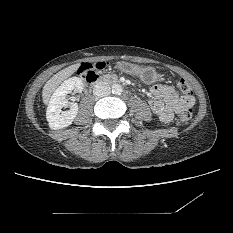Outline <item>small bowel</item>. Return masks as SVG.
Returning a JSON list of instances; mask_svg holds the SVG:
<instances>
[{
  "mask_svg": "<svg viewBox=\"0 0 233 233\" xmlns=\"http://www.w3.org/2000/svg\"><path fill=\"white\" fill-rule=\"evenodd\" d=\"M148 103L152 111L168 123L175 113L189 110L193 102L181 97L172 86L159 84L151 87L148 92Z\"/></svg>",
  "mask_w": 233,
  "mask_h": 233,
  "instance_id": "small-bowel-1",
  "label": "small bowel"
}]
</instances>
